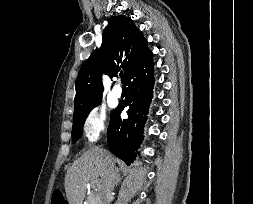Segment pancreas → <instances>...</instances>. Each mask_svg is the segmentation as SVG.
Instances as JSON below:
<instances>
[{"label": "pancreas", "instance_id": "cf45deb5", "mask_svg": "<svg viewBox=\"0 0 253 204\" xmlns=\"http://www.w3.org/2000/svg\"><path fill=\"white\" fill-rule=\"evenodd\" d=\"M85 204H100L98 194L96 192H91L87 198V202Z\"/></svg>", "mask_w": 253, "mask_h": 204}]
</instances>
